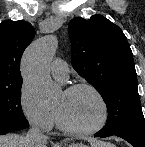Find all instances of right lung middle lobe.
<instances>
[{
	"mask_svg": "<svg viewBox=\"0 0 145 147\" xmlns=\"http://www.w3.org/2000/svg\"><path fill=\"white\" fill-rule=\"evenodd\" d=\"M22 83L0 87V132L18 131L29 126L21 108Z\"/></svg>",
	"mask_w": 145,
	"mask_h": 147,
	"instance_id": "obj_1",
	"label": "right lung middle lobe"
}]
</instances>
